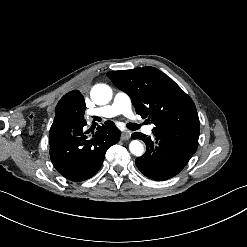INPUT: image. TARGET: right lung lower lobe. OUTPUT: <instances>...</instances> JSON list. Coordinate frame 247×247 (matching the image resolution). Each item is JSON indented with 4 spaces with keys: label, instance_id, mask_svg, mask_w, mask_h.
<instances>
[{
    "label": "right lung lower lobe",
    "instance_id": "obj_1",
    "mask_svg": "<svg viewBox=\"0 0 247 247\" xmlns=\"http://www.w3.org/2000/svg\"><path fill=\"white\" fill-rule=\"evenodd\" d=\"M86 122L49 133L50 157L56 170L71 181H84L102 166L107 149L120 140L121 132L112 121L98 126L93 137L86 136Z\"/></svg>",
    "mask_w": 247,
    "mask_h": 247
}]
</instances>
